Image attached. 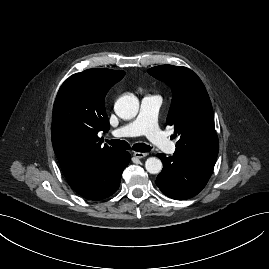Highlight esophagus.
Listing matches in <instances>:
<instances>
[{
	"instance_id": "esophagus-1",
	"label": "esophagus",
	"mask_w": 269,
	"mask_h": 269,
	"mask_svg": "<svg viewBox=\"0 0 269 269\" xmlns=\"http://www.w3.org/2000/svg\"><path fill=\"white\" fill-rule=\"evenodd\" d=\"M133 155L136 157V158H144L148 155V153H143V152H134Z\"/></svg>"
}]
</instances>
